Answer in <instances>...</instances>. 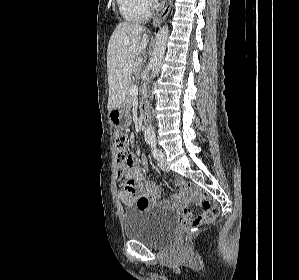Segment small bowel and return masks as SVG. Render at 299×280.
Returning <instances> with one entry per match:
<instances>
[{"label": "small bowel", "instance_id": "obj_1", "mask_svg": "<svg viewBox=\"0 0 299 280\" xmlns=\"http://www.w3.org/2000/svg\"><path fill=\"white\" fill-rule=\"evenodd\" d=\"M147 164L144 158L137 159L133 156V163L130 168L126 170L121 182V190L119 197L122 203L126 206L136 205L138 208H148L150 206H164L171 207L175 210H182L186 203V192L183 188V179L178 180V186L183 192L171 201L167 202L161 199L159 187L145 180Z\"/></svg>", "mask_w": 299, "mask_h": 280}]
</instances>
